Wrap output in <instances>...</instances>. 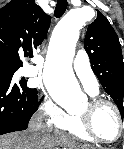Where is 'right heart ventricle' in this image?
<instances>
[{
	"mask_svg": "<svg viewBox=\"0 0 124 149\" xmlns=\"http://www.w3.org/2000/svg\"><path fill=\"white\" fill-rule=\"evenodd\" d=\"M61 129H64L67 133H69L70 135L80 140L87 141V142H94V140L89 135H87V133L82 128V125L78 116H70L66 125Z\"/></svg>",
	"mask_w": 124,
	"mask_h": 149,
	"instance_id": "1",
	"label": "right heart ventricle"
}]
</instances>
